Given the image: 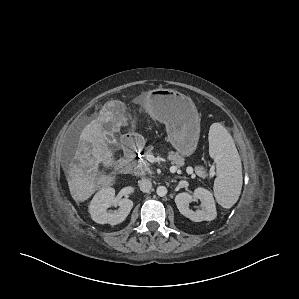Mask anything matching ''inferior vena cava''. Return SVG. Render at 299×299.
Here are the masks:
<instances>
[{
  "label": "inferior vena cava",
  "instance_id": "inferior-vena-cava-1",
  "mask_svg": "<svg viewBox=\"0 0 299 299\" xmlns=\"http://www.w3.org/2000/svg\"><path fill=\"white\" fill-rule=\"evenodd\" d=\"M139 188L142 192H149L152 188V183L147 178H142L138 181Z\"/></svg>",
  "mask_w": 299,
  "mask_h": 299
}]
</instances>
